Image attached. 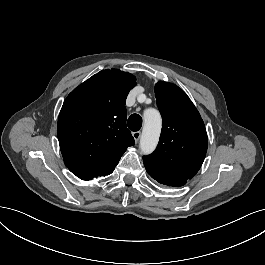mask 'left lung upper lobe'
<instances>
[{
	"instance_id": "1",
	"label": "left lung upper lobe",
	"mask_w": 265,
	"mask_h": 265,
	"mask_svg": "<svg viewBox=\"0 0 265 265\" xmlns=\"http://www.w3.org/2000/svg\"><path fill=\"white\" fill-rule=\"evenodd\" d=\"M163 124L156 150L143 157L147 173L161 184L181 187L200 169L207 151L204 122L189 97L178 86L155 85Z\"/></svg>"
}]
</instances>
